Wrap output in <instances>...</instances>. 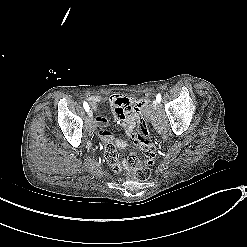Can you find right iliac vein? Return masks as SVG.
Returning a JSON list of instances; mask_svg holds the SVG:
<instances>
[{"instance_id":"63e3f726","label":"right iliac vein","mask_w":247,"mask_h":247,"mask_svg":"<svg viewBox=\"0 0 247 247\" xmlns=\"http://www.w3.org/2000/svg\"><path fill=\"white\" fill-rule=\"evenodd\" d=\"M88 115H89V117L93 116L92 110H88Z\"/></svg>"}]
</instances>
